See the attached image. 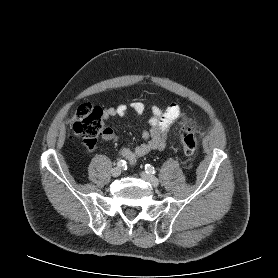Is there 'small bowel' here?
<instances>
[{"label":"small bowel","mask_w":278,"mask_h":278,"mask_svg":"<svg viewBox=\"0 0 278 278\" xmlns=\"http://www.w3.org/2000/svg\"><path fill=\"white\" fill-rule=\"evenodd\" d=\"M145 109L144 103L135 101L129 106L118 104L115 107H110L106 110L105 116L107 118H123L130 111H133L137 116H141L145 112ZM150 112L149 128L143 129L141 132L144 142L134 149L123 147L120 151L121 155L131 164H135L140 157L145 156L151 151H162L166 147L167 134L170 128L181 116V108L178 103L170 104L165 110L153 106ZM103 138L105 140H112L114 138L113 130L106 128L103 133Z\"/></svg>","instance_id":"small-bowel-1"}]
</instances>
